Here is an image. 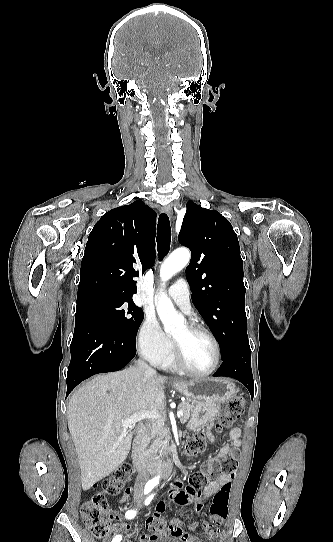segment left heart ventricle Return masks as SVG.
Returning <instances> with one entry per match:
<instances>
[{
    "mask_svg": "<svg viewBox=\"0 0 333 542\" xmlns=\"http://www.w3.org/2000/svg\"><path fill=\"white\" fill-rule=\"evenodd\" d=\"M170 339L179 347L185 363L195 371L210 369L215 361V350L212 342L204 335L193 333L188 326Z\"/></svg>",
    "mask_w": 333,
    "mask_h": 542,
    "instance_id": "left-heart-ventricle-1",
    "label": "left heart ventricle"
}]
</instances>
